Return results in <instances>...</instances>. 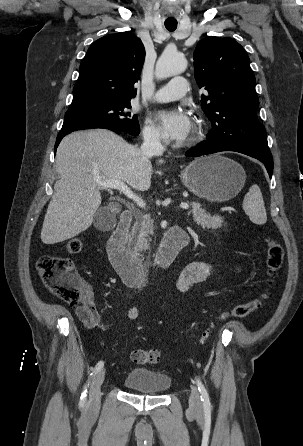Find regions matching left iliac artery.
Instances as JSON below:
<instances>
[{
    "label": "left iliac artery",
    "instance_id": "1",
    "mask_svg": "<svg viewBox=\"0 0 303 446\" xmlns=\"http://www.w3.org/2000/svg\"><path fill=\"white\" fill-rule=\"evenodd\" d=\"M196 382H197L198 390L201 394V400L203 402V407L206 411H210L211 404H210V399H209L207 390L205 389L204 385L202 384V382L199 379H196Z\"/></svg>",
    "mask_w": 303,
    "mask_h": 446
}]
</instances>
